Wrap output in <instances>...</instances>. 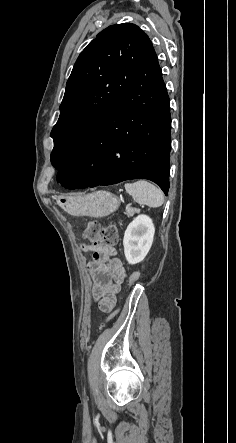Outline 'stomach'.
<instances>
[{"label": "stomach", "instance_id": "stomach-1", "mask_svg": "<svg viewBox=\"0 0 236 443\" xmlns=\"http://www.w3.org/2000/svg\"><path fill=\"white\" fill-rule=\"evenodd\" d=\"M59 205L73 215H89L105 217L116 211L120 205L119 199L110 192L96 191L87 195L60 198Z\"/></svg>", "mask_w": 236, "mask_h": 443}]
</instances>
